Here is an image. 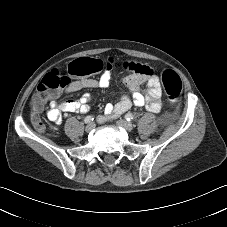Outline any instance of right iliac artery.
<instances>
[{
  "label": "right iliac artery",
  "mask_w": 227,
  "mask_h": 227,
  "mask_svg": "<svg viewBox=\"0 0 227 227\" xmlns=\"http://www.w3.org/2000/svg\"><path fill=\"white\" fill-rule=\"evenodd\" d=\"M93 117L92 116H87V117H85V119H84V122L85 123H90V122H92L93 121Z\"/></svg>",
  "instance_id": "right-iliac-artery-1"
}]
</instances>
